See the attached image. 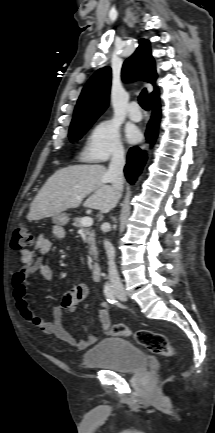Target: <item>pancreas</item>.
<instances>
[{
	"label": "pancreas",
	"mask_w": 215,
	"mask_h": 433,
	"mask_svg": "<svg viewBox=\"0 0 215 433\" xmlns=\"http://www.w3.org/2000/svg\"><path fill=\"white\" fill-rule=\"evenodd\" d=\"M73 226L83 230V232L85 233L86 238H87V243L89 245V255L96 258L97 257V247H96V242H95L94 231L91 230L90 228L84 227L82 225V218H80V217L74 218Z\"/></svg>",
	"instance_id": "1"
}]
</instances>
